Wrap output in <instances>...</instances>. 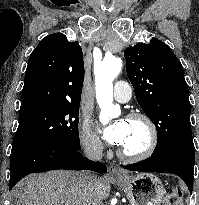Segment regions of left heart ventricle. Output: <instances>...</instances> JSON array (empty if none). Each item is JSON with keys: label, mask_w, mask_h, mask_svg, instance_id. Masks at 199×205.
I'll return each mask as SVG.
<instances>
[{"label": "left heart ventricle", "mask_w": 199, "mask_h": 205, "mask_svg": "<svg viewBox=\"0 0 199 205\" xmlns=\"http://www.w3.org/2000/svg\"><path fill=\"white\" fill-rule=\"evenodd\" d=\"M147 137V130L143 123L128 120L127 135L120 148L128 152L140 151L146 145Z\"/></svg>", "instance_id": "obj_1"}]
</instances>
